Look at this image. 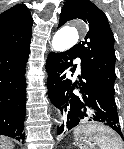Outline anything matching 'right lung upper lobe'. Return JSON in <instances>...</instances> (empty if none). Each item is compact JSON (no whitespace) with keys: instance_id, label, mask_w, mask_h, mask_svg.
I'll return each mask as SVG.
<instances>
[{"instance_id":"right-lung-upper-lobe-1","label":"right lung upper lobe","mask_w":124,"mask_h":149,"mask_svg":"<svg viewBox=\"0 0 124 149\" xmlns=\"http://www.w3.org/2000/svg\"><path fill=\"white\" fill-rule=\"evenodd\" d=\"M32 17L24 4L0 14V50L22 48L30 44Z\"/></svg>"}]
</instances>
